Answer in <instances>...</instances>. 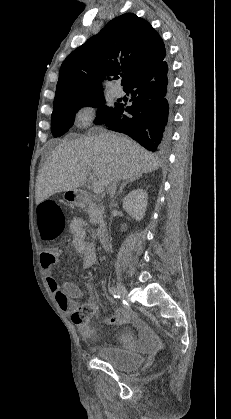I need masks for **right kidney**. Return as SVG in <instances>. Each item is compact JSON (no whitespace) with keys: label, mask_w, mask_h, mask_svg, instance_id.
I'll return each instance as SVG.
<instances>
[{"label":"right kidney","mask_w":231,"mask_h":419,"mask_svg":"<svg viewBox=\"0 0 231 419\" xmlns=\"http://www.w3.org/2000/svg\"><path fill=\"white\" fill-rule=\"evenodd\" d=\"M148 194L143 189L132 190L123 199L124 210L134 219L140 221L145 215Z\"/></svg>","instance_id":"obj_1"}]
</instances>
